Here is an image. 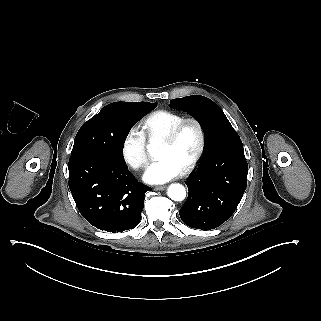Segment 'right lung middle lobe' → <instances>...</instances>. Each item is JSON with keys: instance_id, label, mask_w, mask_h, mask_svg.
Here are the masks:
<instances>
[{"instance_id": "1", "label": "right lung middle lobe", "mask_w": 321, "mask_h": 321, "mask_svg": "<svg viewBox=\"0 0 321 321\" xmlns=\"http://www.w3.org/2000/svg\"><path fill=\"white\" fill-rule=\"evenodd\" d=\"M156 105L149 102L106 105L79 129L71 155L95 153L125 161L123 146L130 128ZM124 113L130 115L125 117Z\"/></svg>"}]
</instances>
